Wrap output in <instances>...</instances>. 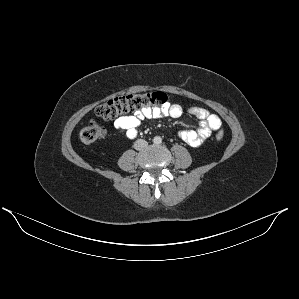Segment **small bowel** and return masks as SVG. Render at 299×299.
<instances>
[{
    "instance_id": "1",
    "label": "small bowel",
    "mask_w": 299,
    "mask_h": 299,
    "mask_svg": "<svg viewBox=\"0 0 299 299\" xmlns=\"http://www.w3.org/2000/svg\"><path fill=\"white\" fill-rule=\"evenodd\" d=\"M184 111L199 121L197 129H183L178 136L190 146L197 147L203 144L213 131L221 127L220 118L208 110L192 106L184 110L179 104L165 105L160 108H148L136 111L131 115L120 116L114 120V127L127 138H134L138 133V127L146 119H158L165 116L180 117Z\"/></svg>"
}]
</instances>
